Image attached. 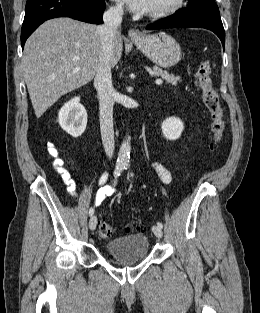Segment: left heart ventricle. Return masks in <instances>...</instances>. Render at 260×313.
Wrapping results in <instances>:
<instances>
[{
  "label": "left heart ventricle",
  "mask_w": 260,
  "mask_h": 313,
  "mask_svg": "<svg viewBox=\"0 0 260 313\" xmlns=\"http://www.w3.org/2000/svg\"><path fill=\"white\" fill-rule=\"evenodd\" d=\"M172 0H151L150 4V12L151 11H156V10H161L168 6Z\"/></svg>",
  "instance_id": "left-heart-ventricle-1"
}]
</instances>
